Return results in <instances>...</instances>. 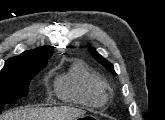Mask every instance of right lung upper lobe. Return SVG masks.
<instances>
[{
	"label": "right lung upper lobe",
	"mask_w": 165,
	"mask_h": 120,
	"mask_svg": "<svg viewBox=\"0 0 165 120\" xmlns=\"http://www.w3.org/2000/svg\"><path fill=\"white\" fill-rule=\"evenodd\" d=\"M53 47L44 46L38 49L25 51L19 56L9 58L5 66L22 64V63H33V62H46L52 56Z\"/></svg>",
	"instance_id": "cb5924a9"
}]
</instances>
